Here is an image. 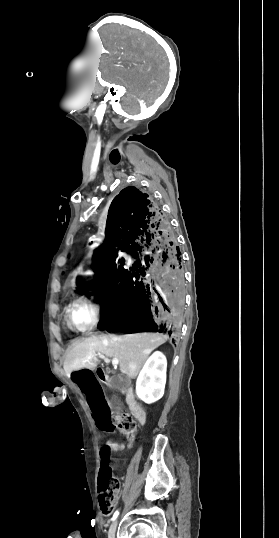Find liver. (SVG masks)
<instances>
[{
    "label": "liver",
    "instance_id": "6515ba94",
    "mask_svg": "<svg viewBox=\"0 0 279 538\" xmlns=\"http://www.w3.org/2000/svg\"><path fill=\"white\" fill-rule=\"evenodd\" d=\"M163 334H127V336H91L84 342L74 344L64 364L67 372L76 370H95L98 362L95 354H104L108 358L119 360L122 374L128 378H136L140 368L147 360L150 352L166 342Z\"/></svg>",
    "mask_w": 279,
    "mask_h": 538
}]
</instances>
